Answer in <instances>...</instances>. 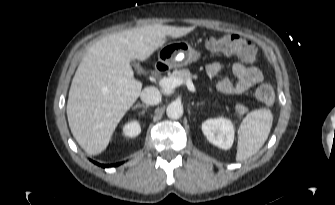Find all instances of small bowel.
<instances>
[{"mask_svg": "<svg viewBox=\"0 0 335 205\" xmlns=\"http://www.w3.org/2000/svg\"><path fill=\"white\" fill-rule=\"evenodd\" d=\"M225 70L222 62H212L206 66L208 76L214 78ZM231 73L237 79L235 83L228 76L222 77L216 84V89L224 94H242L263 80V74L258 67H247L241 62H235Z\"/></svg>", "mask_w": 335, "mask_h": 205, "instance_id": "c3829d8e", "label": "small bowel"}]
</instances>
